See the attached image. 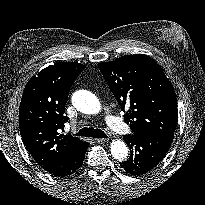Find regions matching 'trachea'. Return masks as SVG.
Returning a JSON list of instances; mask_svg holds the SVG:
<instances>
[{
  "instance_id": "obj_1",
  "label": "trachea",
  "mask_w": 205,
  "mask_h": 205,
  "mask_svg": "<svg viewBox=\"0 0 205 205\" xmlns=\"http://www.w3.org/2000/svg\"><path fill=\"white\" fill-rule=\"evenodd\" d=\"M77 136H83V137H94V138H107V135L104 131L100 129H94L92 127L88 128H82L77 133Z\"/></svg>"
}]
</instances>
